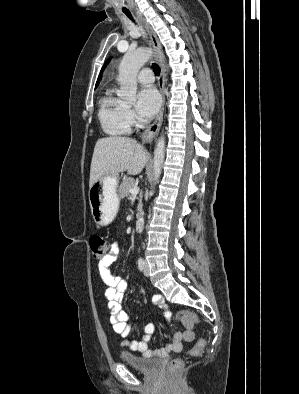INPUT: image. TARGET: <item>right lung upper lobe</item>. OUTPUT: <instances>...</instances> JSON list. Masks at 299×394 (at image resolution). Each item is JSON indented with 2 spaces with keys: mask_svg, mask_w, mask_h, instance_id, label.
<instances>
[{
  "mask_svg": "<svg viewBox=\"0 0 299 394\" xmlns=\"http://www.w3.org/2000/svg\"><path fill=\"white\" fill-rule=\"evenodd\" d=\"M100 79H101V76H99V78H98V80H97V83H96V86L99 84Z\"/></svg>",
  "mask_w": 299,
  "mask_h": 394,
  "instance_id": "1",
  "label": "right lung upper lobe"
}]
</instances>
